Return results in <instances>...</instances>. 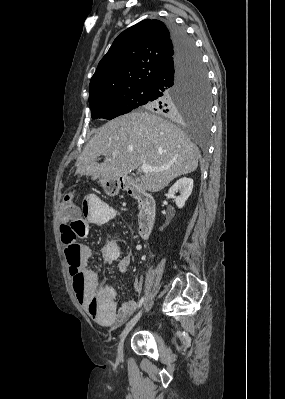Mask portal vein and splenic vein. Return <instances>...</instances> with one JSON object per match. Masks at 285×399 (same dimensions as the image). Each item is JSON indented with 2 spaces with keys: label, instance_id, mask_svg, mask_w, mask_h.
Here are the masks:
<instances>
[{
  "label": "portal vein and splenic vein",
  "instance_id": "18ae733b",
  "mask_svg": "<svg viewBox=\"0 0 285 399\" xmlns=\"http://www.w3.org/2000/svg\"><path fill=\"white\" fill-rule=\"evenodd\" d=\"M113 155H115V154H113ZM167 168H165V167H162V168H153V167H151L150 165H148V164H143L142 166H141V171H143V172H149V171H152V172H158V171H163V170H166Z\"/></svg>",
  "mask_w": 285,
  "mask_h": 399
}]
</instances>
